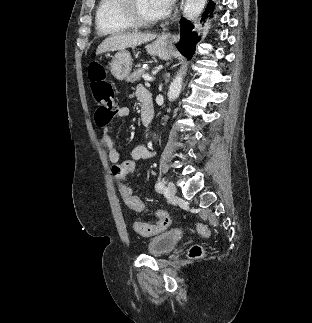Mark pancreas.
<instances>
[{
    "instance_id": "cf45deb5",
    "label": "pancreas",
    "mask_w": 312,
    "mask_h": 323,
    "mask_svg": "<svg viewBox=\"0 0 312 323\" xmlns=\"http://www.w3.org/2000/svg\"><path fill=\"white\" fill-rule=\"evenodd\" d=\"M144 74H146L144 68H139V70H136V72H133V74L128 76L126 82H137V80L143 78Z\"/></svg>"
}]
</instances>
